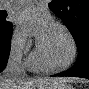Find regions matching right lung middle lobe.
I'll use <instances>...</instances> for the list:
<instances>
[{"instance_id":"obj_1","label":"right lung middle lobe","mask_w":89,"mask_h":89,"mask_svg":"<svg viewBox=\"0 0 89 89\" xmlns=\"http://www.w3.org/2000/svg\"><path fill=\"white\" fill-rule=\"evenodd\" d=\"M6 16L7 14L5 12H0V35L12 27V23L6 20Z\"/></svg>"}]
</instances>
